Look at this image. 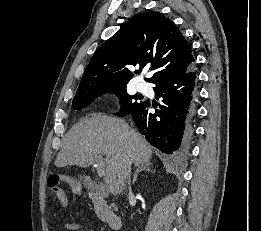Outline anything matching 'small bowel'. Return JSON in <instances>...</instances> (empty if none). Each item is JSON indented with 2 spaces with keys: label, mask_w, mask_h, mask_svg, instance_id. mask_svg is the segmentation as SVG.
Wrapping results in <instances>:
<instances>
[{
  "label": "small bowel",
  "mask_w": 261,
  "mask_h": 231,
  "mask_svg": "<svg viewBox=\"0 0 261 231\" xmlns=\"http://www.w3.org/2000/svg\"><path fill=\"white\" fill-rule=\"evenodd\" d=\"M59 201L63 207H65V208L69 207L68 200L62 194L59 196ZM64 227H65L66 231H77L79 229V226L77 223H66L64 225ZM86 231H93V230H86Z\"/></svg>",
  "instance_id": "obj_1"
}]
</instances>
